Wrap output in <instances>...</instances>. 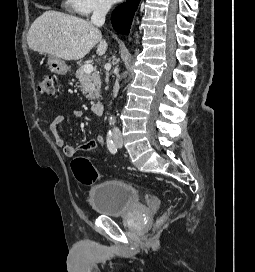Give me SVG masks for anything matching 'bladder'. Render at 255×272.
Wrapping results in <instances>:
<instances>
[{"label":"bladder","instance_id":"1","mask_svg":"<svg viewBox=\"0 0 255 272\" xmlns=\"http://www.w3.org/2000/svg\"><path fill=\"white\" fill-rule=\"evenodd\" d=\"M92 209L101 216L114 217L128 213L140 202L137 190L120 180H106L88 193Z\"/></svg>","mask_w":255,"mask_h":272}]
</instances>
